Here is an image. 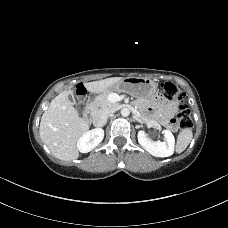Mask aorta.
I'll use <instances>...</instances> for the list:
<instances>
[{"label":"aorta","instance_id":"1","mask_svg":"<svg viewBox=\"0 0 228 228\" xmlns=\"http://www.w3.org/2000/svg\"><path fill=\"white\" fill-rule=\"evenodd\" d=\"M121 115H122L123 117L129 116V115H130V110H129L128 108H126V107L122 108V109H121Z\"/></svg>","mask_w":228,"mask_h":228}]
</instances>
